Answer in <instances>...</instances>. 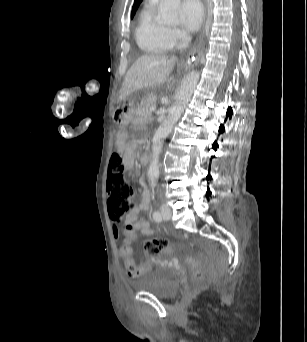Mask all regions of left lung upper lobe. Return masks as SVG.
<instances>
[{
  "label": "left lung upper lobe",
  "instance_id": "1",
  "mask_svg": "<svg viewBox=\"0 0 307 342\" xmlns=\"http://www.w3.org/2000/svg\"><path fill=\"white\" fill-rule=\"evenodd\" d=\"M142 2V0H135L133 8H132V12H131V18H133L136 10L138 9V6L140 5V3Z\"/></svg>",
  "mask_w": 307,
  "mask_h": 342
}]
</instances>
